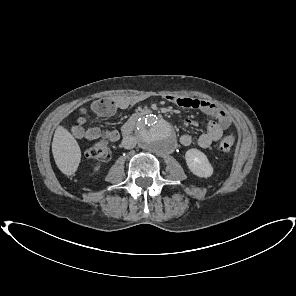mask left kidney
Here are the masks:
<instances>
[{"label": "left kidney", "mask_w": 296, "mask_h": 296, "mask_svg": "<svg viewBox=\"0 0 296 296\" xmlns=\"http://www.w3.org/2000/svg\"><path fill=\"white\" fill-rule=\"evenodd\" d=\"M185 160L190 171L198 177H210L213 174V167L206 155L198 149L192 148L186 151Z\"/></svg>", "instance_id": "left-kidney-1"}]
</instances>
